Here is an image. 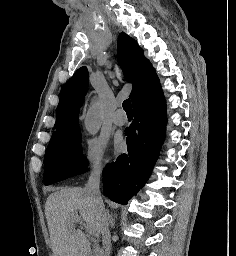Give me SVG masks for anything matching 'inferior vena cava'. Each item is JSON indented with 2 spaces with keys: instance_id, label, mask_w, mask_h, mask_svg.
I'll use <instances>...</instances> for the list:
<instances>
[{
  "instance_id": "1",
  "label": "inferior vena cava",
  "mask_w": 236,
  "mask_h": 256,
  "mask_svg": "<svg viewBox=\"0 0 236 256\" xmlns=\"http://www.w3.org/2000/svg\"><path fill=\"white\" fill-rule=\"evenodd\" d=\"M101 172H102V168H100V166H94L89 176V180L84 188V192L85 194H87V196H89V198H91V200H94V202H96V204H99L100 208H103L104 210L103 200L99 192ZM101 234H102L103 248H104L103 256H110L111 240H110V232L108 228V220H106V224L104 228H102Z\"/></svg>"
}]
</instances>
